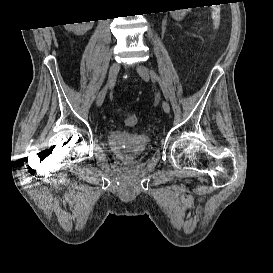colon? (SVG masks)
<instances>
[{"label": "colon", "mask_w": 273, "mask_h": 273, "mask_svg": "<svg viewBox=\"0 0 273 273\" xmlns=\"http://www.w3.org/2000/svg\"><path fill=\"white\" fill-rule=\"evenodd\" d=\"M215 26L218 28L220 23H219V19L218 17L215 18ZM124 122H125V125L129 126V127H133L135 125H137V117L134 115V114H127L125 117H124Z\"/></svg>", "instance_id": "5ec220e1"}]
</instances>
